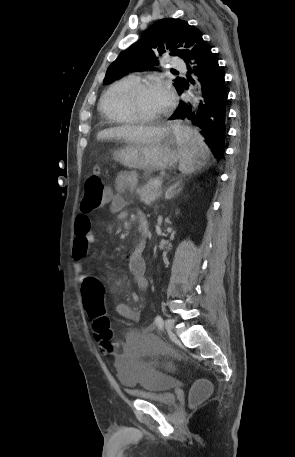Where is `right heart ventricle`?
Listing matches in <instances>:
<instances>
[{
    "mask_svg": "<svg viewBox=\"0 0 295 457\" xmlns=\"http://www.w3.org/2000/svg\"><path fill=\"white\" fill-rule=\"evenodd\" d=\"M137 81L138 79L134 76L124 77L113 82L105 90L99 102V109L107 120L116 124H134L137 122L123 103L124 92Z\"/></svg>",
    "mask_w": 295,
    "mask_h": 457,
    "instance_id": "1",
    "label": "right heart ventricle"
}]
</instances>
